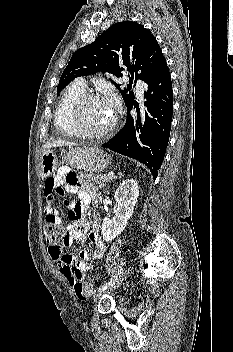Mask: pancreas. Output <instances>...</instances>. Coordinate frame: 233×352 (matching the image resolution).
Segmentation results:
<instances>
[{
	"instance_id": "1",
	"label": "pancreas",
	"mask_w": 233,
	"mask_h": 352,
	"mask_svg": "<svg viewBox=\"0 0 233 352\" xmlns=\"http://www.w3.org/2000/svg\"><path fill=\"white\" fill-rule=\"evenodd\" d=\"M80 177L85 178L87 181H92L93 183L97 184L99 187H104L106 183L111 180V177L108 175L93 176L91 174L80 173Z\"/></svg>"
}]
</instances>
